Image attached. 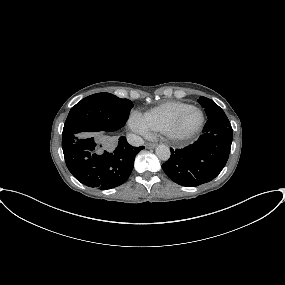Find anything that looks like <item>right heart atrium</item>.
I'll use <instances>...</instances> for the list:
<instances>
[{
  "label": "right heart atrium",
  "mask_w": 285,
  "mask_h": 285,
  "mask_svg": "<svg viewBox=\"0 0 285 285\" xmlns=\"http://www.w3.org/2000/svg\"><path fill=\"white\" fill-rule=\"evenodd\" d=\"M129 125L132 129L140 133H143V134L148 133V131L144 128V126L141 124V122L137 119V116L135 115L130 118Z\"/></svg>",
  "instance_id": "d8ad5b80"
}]
</instances>
